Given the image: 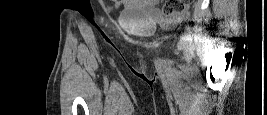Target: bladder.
<instances>
[{"mask_svg": "<svg viewBox=\"0 0 267 115\" xmlns=\"http://www.w3.org/2000/svg\"><path fill=\"white\" fill-rule=\"evenodd\" d=\"M124 29L137 36H150L155 31L152 25H124Z\"/></svg>", "mask_w": 267, "mask_h": 115, "instance_id": "31cf9c89", "label": "bladder"}]
</instances>
